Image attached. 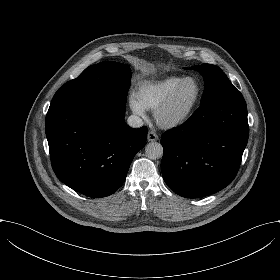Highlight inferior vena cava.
I'll use <instances>...</instances> for the list:
<instances>
[{
    "instance_id": "1",
    "label": "inferior vena cava",
    "mask_w": 280,
    "mask_h": 280,
    "mask_svg": "<svg viewBox=\"0 0 280 280\" xmlns=\"http://www.w3.org/2000/svg\"><path fill=\"white\" fill-rule=\"evenodd\" d=\"M127 124L132 128H138L143 125L142 119L136 115H131L127 118Z\"/></svg>"
}]
</instances>
